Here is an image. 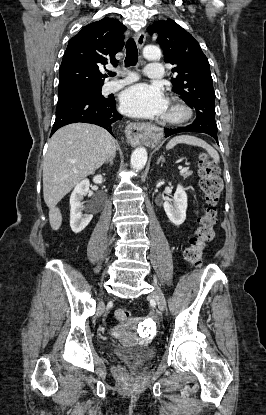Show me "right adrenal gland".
Wrapping results in <instances>:
<instances>
[{
	"instance_id": "obj_1",
	"label": "right adrenal gland",
	"mask_w": 266,
	"mask_h": 415,
	"mask_svg": "<svg viewBox=\"0 0 266 415\" xmlns=\"http://www.w3.org/2000/svg\"><path fill=\"white\" fill-rule=\"evenodd\" d=\"M116 155V154H115ZM115 155H113L111 158H109L106 162H105V165L106 164H108V163H110V165L112 166L113 165V159L115 158Z\"/></svg>"
}]
</instances>
